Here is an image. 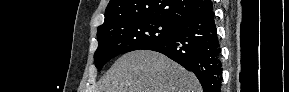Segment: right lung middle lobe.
<instances>
[{"label":"right lung middle lobe","instance_id":"1","mask_svg":"<svg viewBox=\"0 0 289 92\" xmlns=\"http://www.w3.org/2000/svg\"><path fill=\"white\" fill-rule=\"evenodd\" d=\"M179 22L157 17L121 21L98 30V48L94 54L100 71L115 56L162 42L174 35Z\"/></svg>","mask_w":289,"mask_h":92}]
</instances>
